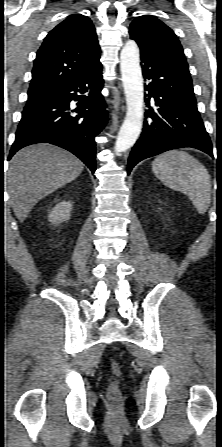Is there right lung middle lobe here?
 Returning a JSON list of instances; mask_svg holds the SVG:
<instances>
[{"label": "right lung middle lobe", "mask_w": 222, "mask_h": 447, "mask_svg": "<svg viewBox=\"0 0 222 447\" xmlns=\"http://www.w3.org/2000/svg\"><path fill=\"white\" fill-rule=\"evenodd\" d=\"M42 101H44V100L28 99L26 106L34 105V104H37V103L42 102Z\"/></svg>", "instance_id": "obj_1"}]
</instances>
